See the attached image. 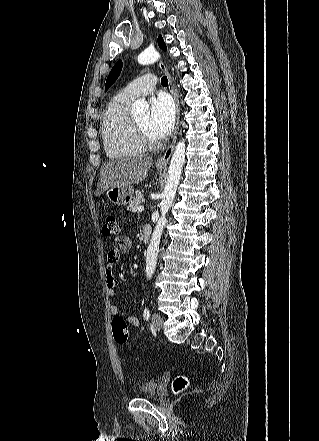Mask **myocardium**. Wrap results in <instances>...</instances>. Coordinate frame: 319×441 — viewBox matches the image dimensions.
<instances>
[{"instance_id":"myocardium-1","label":"myocardium","mask_w":319,"mask_h":441,"mask_svg":"<svg viewBox=\"0 0 319 441\" xmlns=\"http://www.w3.org/2000/svg\"><path fill=\"white\" fill-rule=\"evenodd\" d=\"M134 129L137 135L139 144L143 150H155L159 148L160 142L156 139L150 138L143 129L138 125L136 121H133Z\"/></svg>"}]
</instances>
